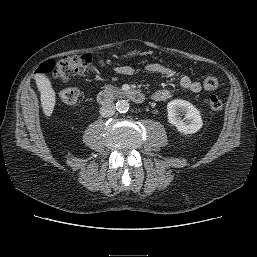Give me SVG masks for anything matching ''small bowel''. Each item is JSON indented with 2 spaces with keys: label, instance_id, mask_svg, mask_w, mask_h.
<instances>
[{
  "label": "small bowel",
  "instance_id": "small-bowel-1",
  "mask_svg": "<svg viewBox=\"0 0 257 257\" xmlns=\"http://www.w3.org/2000/svg\"><path fill=\"white\" fill-rule=\"evenodd\" d=\"M145 69L151 73H157L167 78H178L179 85L184 90L199 93L202 90V85L198 81L192 80L187 75H181L177 70L162 65L160 63H149L145 65ZM116 71L120 74H132L135 69L132 66H119ZM171 97V91L169 89H160L153 93L152 99L154 101H166Z\"/></svg>",
  "mask_w": 257,
  "mask_h": 257
}]
</instances>
